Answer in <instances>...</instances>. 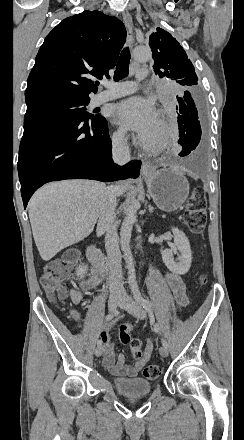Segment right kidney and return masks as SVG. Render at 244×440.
<instances>
[{
    "label": "right kidney",
    "instance_id": "ca27d5eb",
    "mask_svg": "<svg viewBox=\"0 0 244 440\" xmlns=\"http://www.w3.org/2000/svg\"><path fill=\"white\" fill-rule=\"evenodd\" d=\"M88 266H79L76 268V276L78 278H84L85 274H87Z\"/></svg>",
    "mask_w": 244,
    "mask_h": 440
}]
</instances>
